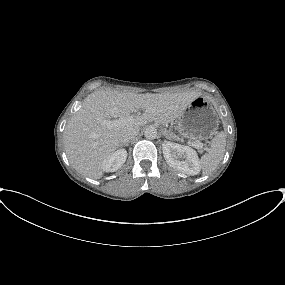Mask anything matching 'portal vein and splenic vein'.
Wrapping results in <instances>:
<instances>
[{
	"instance_id": "18ae733b",
	"label": "portal vein and splenic vein",
	"mask_w": 285,
	"mask_h": 285,
	"mask_svg": "<svg viewBox=\"0 0 285 285\" xmlns=\"http://www.w3.org/2000/svg\"><path fill=\"white\" fill-rule=\"evenodd\" d=\"M133 120V117H124V118H119V119H115V120H104L102 122L103 125L107 126V127H112V126H120L122 124H126L130 121ZM189 144H191L192 146L199 148L203 146V143L201 142H188Z\"/></svg>"
}]
</instances>
